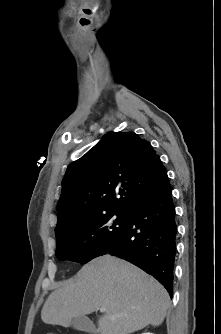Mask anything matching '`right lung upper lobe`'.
<instances>
[{"mask_svg": "<svg viewBox=\"0 0 221 334\" xmlns=\"http://www.w3.org/2000/svg\"><path fill=\"white\" fill-rule=\"evenodd\" d=\"M166 178L165 167L148 141L134 132L107 133L66 170L56 237L103 214L129 213Z\"/></svg>", "mask_w": 221, "mask_h": 334, "instance_id": "cb5924a9", "label": "right lung upper lobe"}]
</instances>
